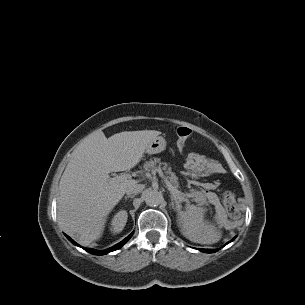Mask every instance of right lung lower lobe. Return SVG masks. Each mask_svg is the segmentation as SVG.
Masks as SVG:
<instances>
[{
  "mask_svg": "<svg viewBox=\"0 0 305 305\" xmlns=\"http://www.w3.org/2000/svg\"><path fill=\"white\" fill-rule=\"evenodd\" d=\"M133 233H131L129 236H127L124 240H122L121 242H119L118 244L114 245L113 247L107 249V250H104V251H96V250H93L91 248H84L80 245H78L75 241H73L68 235L65 234V236L76 246H79L81 248H83L85 251L91 253V254H94V255H104V254H107L109 252H112V251H115L119 248H121L132 236Z\"/></svg>",
  "mask_w": 305,
  "mask_h": 305,
  "instance_id": "1",
  "label": "right lung lower lobe"
}]
</instances>
